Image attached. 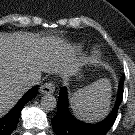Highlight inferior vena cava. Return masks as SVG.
I'll return each mask as SVG.
<instances>
[{"mask_svg":"<svg viewBox=\"0 0 135 135\" xmlns=\"http://www.w3.org/2000/svg\"><path fill=\"white\" fill-rule=\"evenodd\" d=\"M39 80L35 77V75H29L26 79V84L28 87L38 84Z\"/></svg>","mask_w":135,"mask_h":135,"instance_id":"1","label":"inferior vena cava"}]
</instances>
